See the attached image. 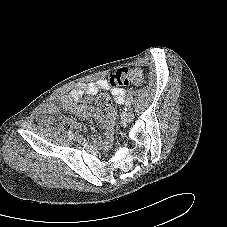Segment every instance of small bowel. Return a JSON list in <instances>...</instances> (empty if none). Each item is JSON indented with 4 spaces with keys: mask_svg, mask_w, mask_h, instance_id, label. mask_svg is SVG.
Returning <instances> with one entry per match:
<instances>
[{
    "mask_svg": "<svg viewBox=\"0 0 227 227\" xmlns=\"http://www.w3.org/2000/svg\"><path fill=\"white\" fill-rule=\"evenodd\" d=\"M110 91L116 104H123L125 100V89H117L111 87L109 80L104 78L95 82L79 83L74 86L68 93L60 96L56 102H50L43 108V121L45 124H53L62 120L65 124L75 127L85 132L86 127L78 122H74L68 118H62L58 109L63 108L71 113L81 117H91L103 125L109 134V130L113 125L116 110L113 106L106 113H101L96 108L89 106L86 102L90 97L95 96L99 91ZM84 103H80L81 101Z\"/></svg>",
    "mask_w": 227,
    "mask_h": 227,
    "instance_id": "c3829d8e",
    "label": "small bowel"
}]
</instances>
